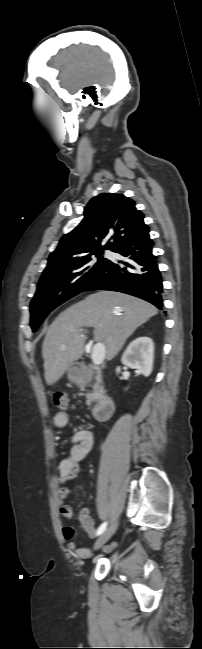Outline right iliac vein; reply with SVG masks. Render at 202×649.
Wrapping results in <instances>:
<instances>
[{"instance_id":"63e3f726","label":"right iliac vein","mask_w":202,"mask_h":649,"mask_svg":"<svg viewBox=\"0 0 202 649\" xmlns=\"http://www.w3.org/2000/svg\"><path fill=\"white\" fill-rule=\"evenodd\" d=\"M117 521H114L105 531L101 534V536L96 540L94 544V549L97 550L99 549L103 544H105L111 536L114 534V532L117 529Z\"/></svg>"}]
</instances>
